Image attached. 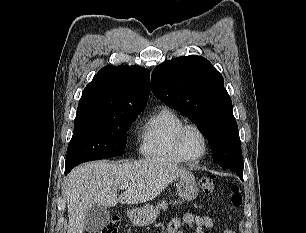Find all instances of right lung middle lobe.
<instances>
[{"instance_id":"1","label":"right lung middle lobe","mask_w":306,"mask_h":233,"mask_svg":"<svg viewBox=\"0 0 306 233\" xmlns=\"http://www.w3.org/2000/svg\"><path fill=\"white\" fill-rule=\"evenodd\" d=\"M140 112L103 108L77 109L74 132L67 148L66 168L121 155L127 131Z\"/></svg>"}]
</instances>
